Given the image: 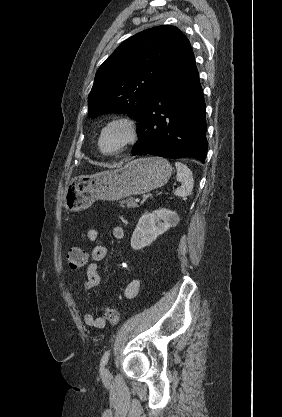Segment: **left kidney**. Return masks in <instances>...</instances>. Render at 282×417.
Listing matches in <instances>:
<instances>
[{
  "label": "left kidney",
  "mask_w": 282,
  "mask_h": 417,
  "mask_svg": "<svg viewBox=\"0 0 282 417\" xmlns=\"http://www.w3.org/2000/svg\"><path fill=\"white\" fill-rule=\"evenodd\" d=\"M178 223L177 213L169 211V209H157L153 213H144L133 231L132 249L139 251L143 247H149L159 235L166 233L170 227H176Z\"/></svg>",
  "instance_id": "5707ae66"
}]
</instances>
